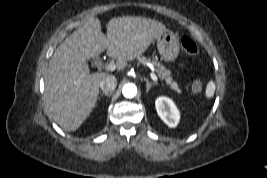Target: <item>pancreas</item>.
I'll return each mask as SVG.
<instances>
[{
	"label": "pancreas",
	"mask_w": 267,
	"mask_h": 178,
	"mask_svg": "<svg viewBox=\"0 0 267 178\" xmlns=\"http://www.w3.org/2000/svg\"><path fill=\"white\" fill-rule=\"evenodd\" d=\"M141 61L143 62H150L153 67L155 72L157 73L158 77L161 80H165L166 84L170 86L172 90H174L177 93H181V89L179 88L177 82H175L171 76L170 70L166 69L164 65H162L158 61H154L145 57L140 58Z\"/></svg>",
	"instance_id": "cf45deb5"
}]
</instances>
